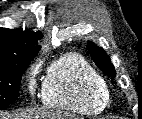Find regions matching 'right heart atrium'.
Segmentation results:
<instances>
[{"mask_svg": "<svg viewBox=\"0 0 142 119\" xmlns=\"http://www.w3.org/2000/svg\"><path fill=\"white\" fill-rule=\"evenodd\" d=\"M38 69H39V64H35L29 69L27 73L26 82L30 93L34 91V77L37 74Z\"/></svg>", "mask_w": 142, "mask_h": 119, "instance_id": "obj_1", "label": "right heart atrium"}]
</instances>
